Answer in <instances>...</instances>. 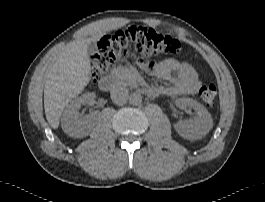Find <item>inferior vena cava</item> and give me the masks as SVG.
<instances>
[{
    "mask_svg": "<svg viewBox=\"0 0 265 202\" xmlns=\"http://www.w3.org/2000/svg\"><path fill=\"white\" fill-rule=\"evenodd\" d=\"M129 98L128 89L124 86H116L111 90V99L117 105H123Z\"/></svg>",
    "mask_w": 265,
    "mask_h": 202,
    "instance_id": "602c4592",
    "label": "inferior vena cava"
}]
</instances>
